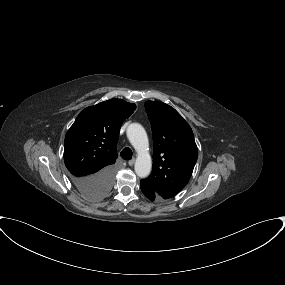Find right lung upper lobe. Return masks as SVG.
<instances>
[{
    "mask_svg": "<svg viewBox=\"0 0 285 285\" xmlns=\"http://www.w3.org/2000/svg\"><path fill=\"white\" fill-rule=\"evenodd\" d=\"M135 109V104L111 99L80 112L64 143V162L73 176H90L115 163L120 127Z\"/></svg>",
    "mask_w": 285,
    "mask_h": 285,
    "instance_id": "cb5924a9",
    "label": "right lung upper lobe"
}]
</instances>
